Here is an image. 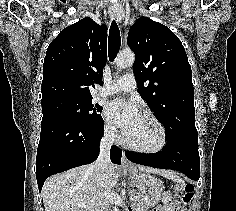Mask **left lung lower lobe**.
<instances>
[{"label": "left lung lower lobe", "mask_w": 236, "mask_h": 211, "mask_svg": "<svg viewBox=\"0 0 236 211\" xmlns=\"http://www.w3.org/2000/svg\"><path fill=\"white\" fill-rule=\"evenodd\" d=\"M134 163L162 169L177 170L192 180H199L200 158L198 140H170L163 151L153 154L125 152Z\"/></svg>", "instance_id": "obj_1"}]
</instances>
